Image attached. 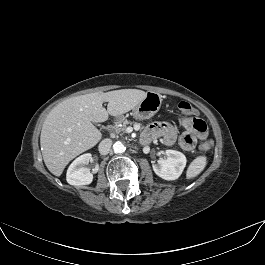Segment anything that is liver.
Listing matches in <instances>:
<instances>
[{
    "mask_svg": "<svg viewBox=\"0 0 265 265\" xmlns=\"http://www.w3.org/2000/svg\"><path fill=\"white\" fill-rule=\"evenodd\" d=\"M146 94L137 89L95 92L69 98L55 106L47 115L40 135L41 152L48 170L60 176L72 159L100 141L101 132L92 122H104L109 115L129 112ZM103 102H108L107 110Z\"/></svg>",
    "mask_w": 265,
    "mask_h": 265,
    "instance_id": "1",
    "label": "liver"
}]
</instances>
